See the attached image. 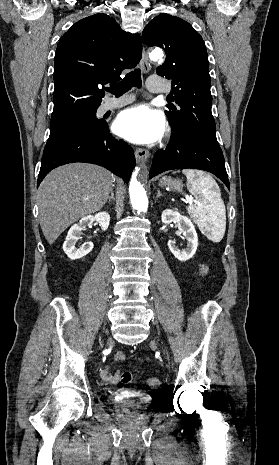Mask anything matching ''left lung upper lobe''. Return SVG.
<instances>
[{
  "mask_svg": "<svg viewBox=\"0 0 279 465\" xmlns=\"http://www.w3.org/2000/svg\"><path fill=\"white\" fill-rule=\"evenodd\" d=\"M143 42L165 50L166 60L156 71L172 80L165 111L172 136L194 133L215 143L216 126L211 112L212 96L207 50L202 37L181 18L162 13L143 30Z\"/></svg>",
  "mask_w": 279,
  "mask_h": 465,
  "instance_id": "5c2ea615",
  "label": "left lung upper lobe"
}]
</instances>
